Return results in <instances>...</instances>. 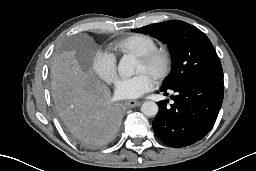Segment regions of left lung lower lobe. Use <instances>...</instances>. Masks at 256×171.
<instances>
[{
    "label": "left lung lower lobe",
    "mask_w": 256,
    "mask_h": 171,
    "mask_svg": "<svg viewBox=\"0 0 256 171\" xmlns=\"http://www.w3.org/2000/svg\"><path fill=\"white\" fill-rule=\"evenodd\" d=\"M169 90L174 103L168 108L165 101L159 102L153 130L168 146L192 145L212 129L222 105L224 82L194 78L160 92L167 95Z\"/></svg>",
    "instance_id": "0a47b994"
}]
</instances>
